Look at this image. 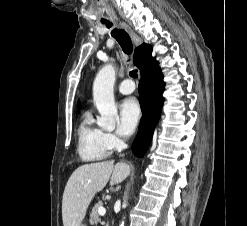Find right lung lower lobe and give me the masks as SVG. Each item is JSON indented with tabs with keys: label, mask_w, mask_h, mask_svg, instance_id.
Masks as SVG:
<instances>
[{
	"label": "right lung lower lobe",
	"mask_w": 247,
	"mask_h": 226,
	"mask_svg": "<svg viewBox=\"0 0 247 226\" xmlns=\"http://www.w3.org/2000/svg\"><path fill=\"white\" fill-rule=\"evenodd\" d=\"M144 45V44H143ZM152 53V48H150ZM139 95L141 99L142 117L132 151L137 157H142L150 145L154 128L160 117L164 98L165 83L158 62L151 56L146 67L140 71Z\"/></svg>",
	"instance_id": "98d812e1"
}]
</instances>
